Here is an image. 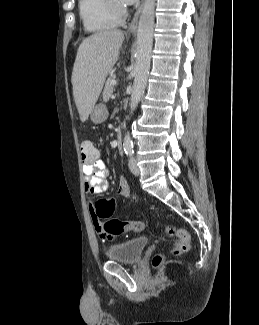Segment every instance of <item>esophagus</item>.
Here are the masks:
<instances>
[{
	"mask_svg": "<svg viewBox=\"0 0 259 325\" xmlns=\"http://www.w3.org/2000/svg\"><path fill=\"white\" fill-rule=\"evenodd\" d=\"M143 4H144V0H142L141 5L139 6L137 11L135 12L134 17H133L131 23L129 24V27H128V33L129 34H134L136 32V30H137L138 20H139L140 14H141L142 9H143Z\"/></svg>",
	"mask_w": 259,
	"mask_h": 325,
	"instance_id": "esophagus-1",
	"label": "esophagus"
}]
</instances>
